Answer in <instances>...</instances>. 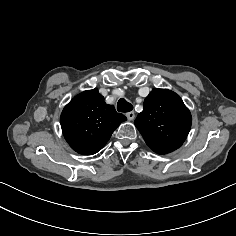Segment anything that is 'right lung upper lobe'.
I'll return each instance as SVG.
<instances>
[{
  "instance_id": "obj_1",
  "label": "right lung upper lobe",
  "mask_w": 236,
  "mask_h": 236,
  "mask_svg": "<svg viewBox=\"0 0 236 236\" xmlns=\"http://www.w3.org/2000/svg\"><path fill=\"white\" fill-rule=\"evenodd\" d=\"M126 117L104 102L97 89L75 96L63 109L61 127L71 148L83 155L97 153Z\"/></svg>"
}]
</instances>
